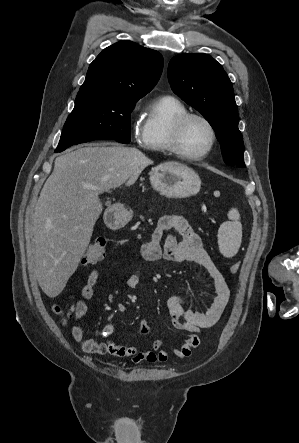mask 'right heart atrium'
Listing matches in <instances>:
<instances>
[{"label":"right heart atrium","instance_id":"d8ad5b80","mask_svg":"<svg viewBox=\"0 0 299 443\" xmlns=\"http://www.w3.org/2000/svg\"><path fill=\"white\" fill-rule=\"evenodd\" d=\"M139 104H140V102L135 103V105L133 106V108H132V110L130 112V123L132 125L134 134L136 136H139V134L141 132L140 131V127H139L138 123L135 120L136 114H137L138 109H139Z\"/></svg>","mask_w":299,"mask_h":443}]
</instances>
